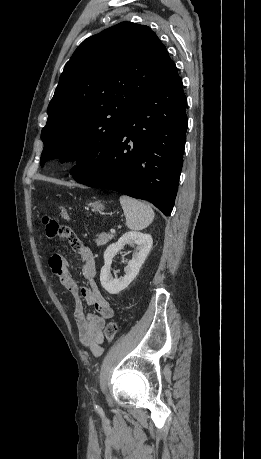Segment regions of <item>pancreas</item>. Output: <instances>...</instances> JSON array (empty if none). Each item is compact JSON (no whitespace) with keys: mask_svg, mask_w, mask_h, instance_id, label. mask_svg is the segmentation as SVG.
Wrapping results in <instances>:
<instances>
[{"mask_svg":"<svg viewBox=\"0 0 261 459\" xmlns=\"http://www.w3.org/2000/svg\"><path fill=\"white\" fill-rule=\"evenodd\" d=\"M115 237L114 234H107L105 232H102L100 234H97V238L95 239V242L97 246H102L105 245L108 241L113 239Z\"/></svg>","mask_w":261,"mask_h":459,"instance_id":"pancreas-1","label":"pancreas"}]
</instances>
